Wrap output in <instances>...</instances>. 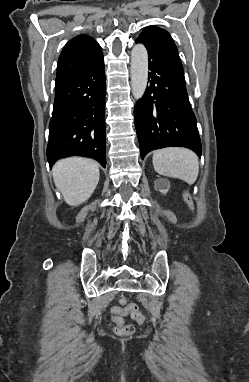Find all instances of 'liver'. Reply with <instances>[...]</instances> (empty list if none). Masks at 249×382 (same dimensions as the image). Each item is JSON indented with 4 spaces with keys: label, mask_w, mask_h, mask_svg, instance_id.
<instances>
[{
    "label": "liver",
    "mask_w": 249,
    "mask_h": 382,
    "mask_svg": "<svg viewBox=\"0 0 249 382\" xmlns=\"http://www.w3.org/2000/svg\"><path fill=\"white\" fill-rule=\"evenodd\" d=\"M52 174L65 202L77 206L87 201L94 192L99 181V166L91 159L70 157L57 161Z\"/></svg>",
    "instance_id": "liver-1"
}]
</instances>
